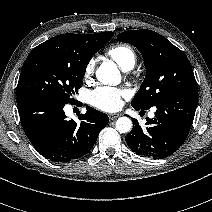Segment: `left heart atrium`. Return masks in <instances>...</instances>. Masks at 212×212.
<instances>
[{"label":"left heart atrium","mask_w":212,"mask_h":212,"mask_svg":"<svg viewBox=\"0 0 212 212\" xmlns=\"http://www.w3.org/2000/svg\"><path fill=\"white\" fill-rule=\"evenodd\" d=\"M125 89L113 87H98L89 95V102L94 107L104 111H114L121 106L122 98L127 97Z\"/></svg>","instance_id":"39dd6f15"}]
</instances>
